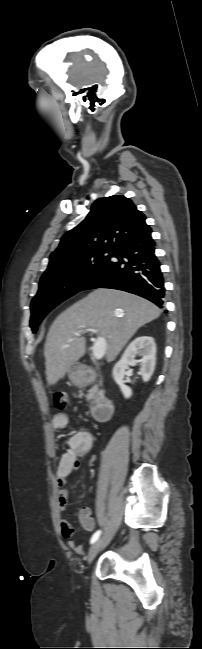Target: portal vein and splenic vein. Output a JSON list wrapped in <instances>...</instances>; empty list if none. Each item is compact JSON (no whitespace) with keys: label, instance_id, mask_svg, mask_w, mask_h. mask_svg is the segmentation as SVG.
I'll list each match as a JSON object with an SVG mask.
<instances>
[{"label":"portal vein and splenic vein","instance_id":"portal-vein-and-splenic-vein-1","mask_svg":"<svg viewBox=\"0 0 202 649\" xmlns=\"http://www.w3.org/2000/svg\"><path fill=\"white\" fill-rule=\"evenodd\" d=\"M87 330L91 331L93 333H97V331L95 329H93V328H90V329H87ZM83 331L84 330H82L80 332H76L75 335L80 336V334ZM92 350H93V355H94L95 359H97V360L101 359L104 356L105 351H106V341H105V339L103 337H97L96 339H94V345L92 347Z\"/></svg>","mask_w":202,"mask_h":649}]
</instances>
